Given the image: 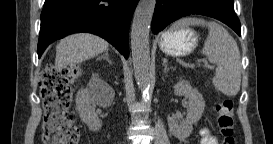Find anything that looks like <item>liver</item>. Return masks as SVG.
<instances>
[{
  "instance_id": "obj_1",
  "label": "liver",
  "mask_w": 273,
  "mask_h": 144,
  "mask_svg": "<svg viewBox=\"0 0 273 144\" xmlns=\"http://www.w3.org/2000/svg\"><path fill=\"white\" fill-rule=\"evenodd\" d=\"M108 42L103 38L78 33L62 39L56 47L55 69L61 70L72 63H82L108 49Z\"/></svg>"
}]
</instances>
